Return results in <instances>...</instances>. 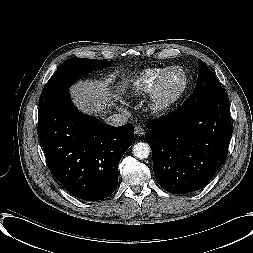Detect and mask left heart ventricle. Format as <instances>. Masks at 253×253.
<instances>
[{
	"label": "left heart ventricle",
	"instance_id": "1",
	"mask_svg": "<svg viewBox=\"0 0 253 253\" xmlns=\"http://www.w3.org/2000/svg\"><path fill=\"white\" fill-rule=\"evenodd\" d=\"M183 85V75L180 71L170 73L164 80L161 87V97L169 99L175 95Z\"/></svg>",
	"mask_w": 253,
	"mask_h": 253
}]
</instances>
